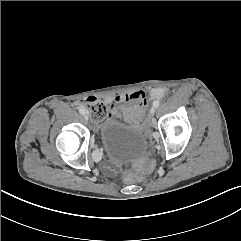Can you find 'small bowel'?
Returning <instances> with one entry per match:
<instances>
[{
	"instance_id": "c3829d8e",
	"label": "small bowel",
	"mask_w": 241,
	"mask_h": 241,
	"mask_svg": "<svg viewBox=\"0 0 241 241\" xmlns=\"http://www.w3.org/2000/svg\"><path fill=\"white\" fill-rule=\"evenodd\" d=\"M153 95L158 96V93L155 92ZM146 97V92L139 89L132 93L116 95L108 101L112 109L120 111L125 121L141 125L140 122H147L149 120V113L143 111V108L148 103Z\"/></svg>"
}]
</instances>
